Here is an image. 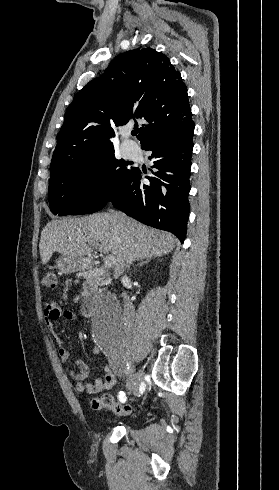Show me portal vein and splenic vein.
Masks as SVG:
<instances>
[{
	"label": "portal vein and splenic vein",
	"mask_w": 279,
	"mask_h": 490,
	"mask_svg": "<svg viewBox=\"0 0 279 490\" xmlns=\"http://www.w3.org/2000/svg\"><path fill=\"white\" fill-rule=\"evenodd\" d=\"M93 246H96V244H93ZM98 248V246H97ZM99 250H102V248H99ZM116 262L113 258V256H109V258H105L104 260V266L105 268H114Z\"/></svg>",
	"instance_id": "18ae733b"
}]
</instances>
